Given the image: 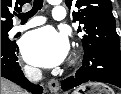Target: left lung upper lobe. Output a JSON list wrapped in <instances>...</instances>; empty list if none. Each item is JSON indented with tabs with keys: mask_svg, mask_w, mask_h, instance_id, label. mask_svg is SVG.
Masks as SVG:
<instances>
[{
	"mask_svg": "<svg viewBox=\"0 0 121 94\" xmlns=\"http://www.w3.org/2000/svg\"><path fill=\"white\" fill-rule=\"evenodd\" d=\"M68 8H78L73 12V21H79V32L84 51L93 49L120 50V40L112 14L110 0H65Z\"/></svg>",
	"mask_w": 121,
	"mask_h": 94,
	"instance_id": "left-lung-upper-lobe-1",
	"label": "left lung upper lobe"
}]
</instances>
